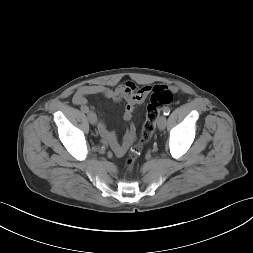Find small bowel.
<instances>
[{"label": "small bowel", "instance_id": "c3829d8e", "mask_svg": "<svg viewBox=\"0 0 253 253\" xmlns=\"http://www.w3.org/2000/svg\"><path fill=\"white\" fill-rule=\"evenodd\" d=\"M153 89L154 87L149 85L138 88L131 81H127L115 89L104 85H84L77 89L73 95L72 101L81 108L87 107L88 96L91 95H102L116 102L120 100L126 101L123 117L125 121L130 122V125L122 142H119L115 133L107 128L104 120L100 119L98 122V131L100 135L110 144L114 153L120 157L126 153L136 138V128L131 122L134 110L146 99Z\"/></svg>", "mask_w": 253, "mask_h": 253}]
</instances>
